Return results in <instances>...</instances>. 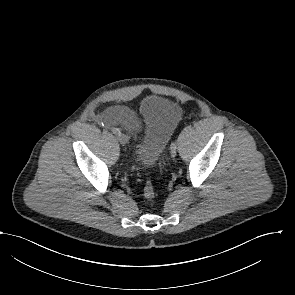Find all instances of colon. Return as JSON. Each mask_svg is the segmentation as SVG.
Segmentation results:
<instances>
[{"label": "colon", "instance_id": "1", "mask_svg": "<svg viewBox=\"0 0 295 295\" xmlns=\"http://www.w3.org/2000/svg\"><path fill=\"white\" fill-rule=\"evenodd\" d=\"M143 195L148 200H152L155 197V189L150 181L146 182L143 189Z\"/></svg>", "mask_w": 295, "mask_h": 295}]
</instances>
